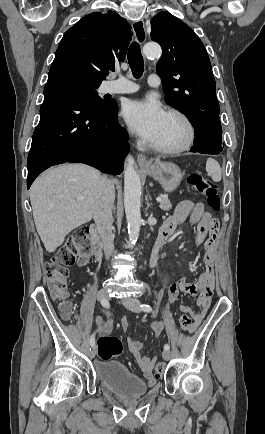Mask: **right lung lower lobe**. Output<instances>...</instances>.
Wrapping results in <instances>:
<instances>
[{
    "label": "right lung lower lobe",
    "instance_id": "1",
    "mask_svg": "<svg viewBox=\"0 0 265 434\" xmlns=\"http://www.w3.org/2000/svg\"><path fill=\"white\" fill-rule=\"evenodd\" d=\"M117 103L91 107L80 92L63 83H47L28 154L29 189L50 166L85 163L101 172L118 175L129 151L128 136L117 121Z\"/></svg>",
    "mask_w": 265,
    "mask_h": 434
}]
</instances>
